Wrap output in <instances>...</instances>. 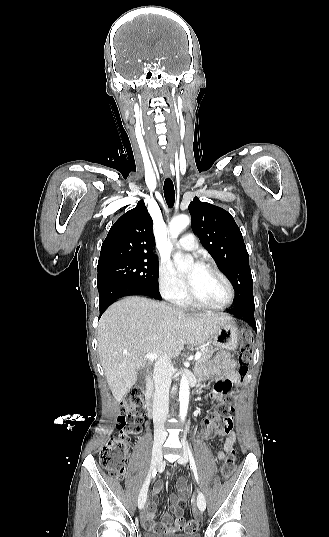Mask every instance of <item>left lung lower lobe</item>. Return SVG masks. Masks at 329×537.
Listing matches in <instances>:
<instances>
[{"label":"left lung lower lobe","instance_id":"0a47b994","mask_svg":"<svg viewBox=\"0 0 329 537\" xmlns=\"http://www.w3.org/2000/svg\"><path fill=\"white\" fill-rule=\"evenodd\" d=\"M255 306H237L228 309L227 312L231 313L235 317L248 323L254 330L257 331L256 323L254 319Z\"/></svg>","mask_w":329,"mask_h":537}]
</instances>
